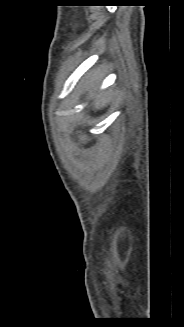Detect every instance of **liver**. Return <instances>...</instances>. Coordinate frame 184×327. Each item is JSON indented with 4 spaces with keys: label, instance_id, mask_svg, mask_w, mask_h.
Returning <instances> with one entry per match:
<instances>
[{
    "label": "liver",
    "instance_id": "liver-1",
    "mask_svg": "<svg viewBox=\"0 0 184 327\" xmlns=\"http://www.w3.org/2000/svg\"><path fill=\"white\" fill-rule=\"evenodd\" d=\"M106 101L105 100H103L102 102H101V104H96V106H95V108L96 109H98L99 107H103V106H105L106 105ZM79 138H80V140L81 141H85L87 138H86V135H81V136H79Z\"/></svg>",
    "mask_w": 184,
    "mask_h": 327
}]
</instances>
